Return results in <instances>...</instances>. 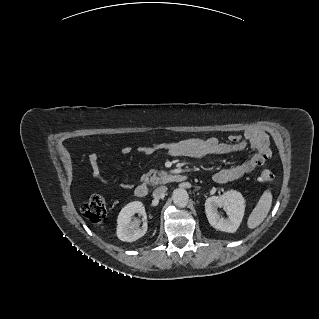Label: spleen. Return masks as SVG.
Instances as JSON below:
<instances>
[{
    "label": "spleen",
    "instance_id": "obj_1",
    "mask_svg": "<svg viewBox=\"0 0 319 319\" xmlns=\"http://www.w3.org/2000/svg\"><path fill=\"white\" fill-rule=\"evenodd\" d=\"M272 206V193L269 190H266L260 197L255 208L249 215L247 226L250 229H254L259 226L264 219L267 217L270 208Z\"/></svg>",
    "mask_w": 319,
    "mask_h": 319
}]
</instances>
